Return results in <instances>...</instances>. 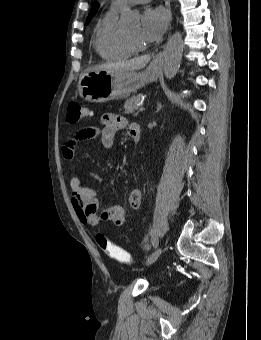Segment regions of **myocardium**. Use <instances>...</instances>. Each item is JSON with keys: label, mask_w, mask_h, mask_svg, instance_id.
Here are the masks:
<instances>
[{"label": "myocardium", "mask_w": 261, "mask_h": 340, "mask_svg": "<svg viewBox=\"0 0 261 340\" xmlns=\"http://www.w3.org/2000/svg\"><path fill=\"white\" fill-rule=\"evenodd\" d=\"M125 39H126L128 46L134 52H142V51L146 50V48H147L145 44H140V43L136 42L126 32H125Z\"/></svg>", "instance_id": "myocardium-1"}]
</instances>
